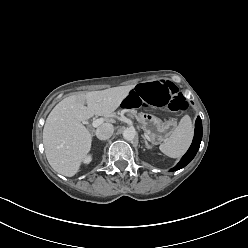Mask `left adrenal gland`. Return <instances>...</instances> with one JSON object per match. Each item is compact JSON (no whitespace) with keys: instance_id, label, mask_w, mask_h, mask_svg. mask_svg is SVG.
Instances as JSON below:
<instances>
[{"instance_id":"1","label":"left adrenal gland","mask_w":248,"mask_h":248,"mask_svg":"<svg viewBox=\"0 0 248 248\" xmlns=\"http://www.w3.org/2000/svg\"><path fill=\"white\" fill-rule=\"evenodd\" d=\"M142 137H143V139H144V142H145L146 147H147L148 149H150L151 146L148 144L146 138H145L144 136H142Z\"/></svg>"}]
</instances>
